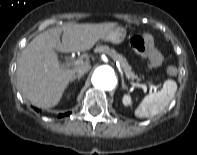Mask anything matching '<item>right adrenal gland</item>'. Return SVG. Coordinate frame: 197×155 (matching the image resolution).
<instances>
[{"instance_id": "right-adrenal-gland-1", "label": "right adrenal gland", "mask_w": 197, "mask_h": 155, "mask_svg": "<svg viewBox=\"0 0 197 155\" xmlns=\"http://www.w3.org/2000/svg\"><path fill=\"white\" fill-rule=\"evenodd\" d=\"M82 76H83V75H77V76H75L70 82H74L76 79H77L78 81H80V79H81Z\"/></svg>"}]
</instances>
